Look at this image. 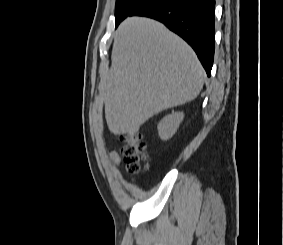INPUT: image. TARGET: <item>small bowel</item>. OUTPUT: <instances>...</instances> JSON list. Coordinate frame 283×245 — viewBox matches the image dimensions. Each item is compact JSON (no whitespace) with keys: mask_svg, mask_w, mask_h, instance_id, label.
<instances>
[{"mask_svg":"<svg viewBox=\"0 0 283 245\" xmlns=\"http://www.w3.org/2000/svg\"><path fill=\"white\" fill-rule=\"evenodd\" d=\"M110 160H111V162H112L114 165H118L119 162H120V156H119V154H118L116 151L111 152V154H110Z\"/></svg>","mask_w":283,"mask_h":245,"instance_id":"1","label":"small bowel"}]
</instances>
